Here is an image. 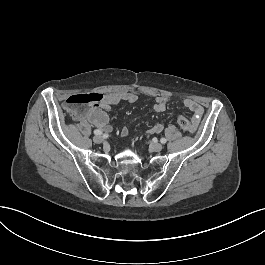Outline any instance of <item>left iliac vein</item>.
<instances>
[{
	"label": "left iliac vein",
	"mask_w": 265,
	"mask_h": 265,
	"mask_svg": "<svg viewBox=\"0 0 265 265\" xmlns=\"http://www.w3.org/2000/svg\"><path fill=\"white\" fill-rule=\"evenodd\" d=\"M151 148H152L153 151L159 152V151L162 150L163 146H162L161 143H152L151 144Z\"/></svg>",
	"instance_id": "obj_1"
}]
</instances>
